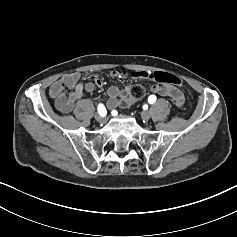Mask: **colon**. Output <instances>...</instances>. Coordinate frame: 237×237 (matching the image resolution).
<instances>
[{
	"instance_id": "1",
	"label": "colon",
	"mask_w": 237,
	"mask_h": 237,
	"mask_svg": "<svg viewBox=\"0 0 237 237\" xmlns=\"http://www.w3.org/2000/svg\"><path fill=\"white\" fill-rule=\"evenodd\" d=\"M149 78L162 84H172L186 88L183 81L167 72H150ZM145 94V87L142 84H135L128 87L126 95L120 100L119 106L121 108L129 107L134 101L141 99Z\"/></svg>"
}]
</instances>
